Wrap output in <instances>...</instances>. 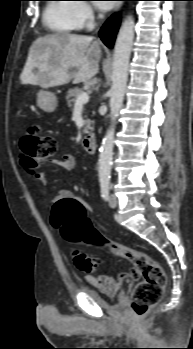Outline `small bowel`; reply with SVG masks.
Instances as JSON below:
<instances>
[{"instance_id": "obj_1", "label": "small bowel", "mask_w": 193, "mask_h": 349, "mask_svg": "<svg viewBox=\"0 0 193 349\" xmlns=\"http://www.w3.org/2000/svg\"><path fill=\"white\" fill-rule=\"evenodd\" d=\"M50 162L68 171L73 170L76 164L75 157L69 152H64L61 159H53ZM21 165L24 168V170L28 174L32 175L37 181H39L42 184H46L45 173L40 171L38 168L36 169L30 168L28 165H26L25 160L22 156H21ZM64 200H76L79 203H81L84 207L89 208L88 203L82 197L75 195L69 189L58 190L56 197L52 201L57 203L59 201H64ZM50 202L51 200H48V199L45 200V205L48 206ZM138 276H139V273L137 269L132 267L129 271L119 273L115 278L107 277V276L95 277L91 274H87L86 280L90 284L104 291L105 293L113 294L120 288V286L124 281L129 279L135 280L138 278Z\"/></svg>"}]
</instances>
